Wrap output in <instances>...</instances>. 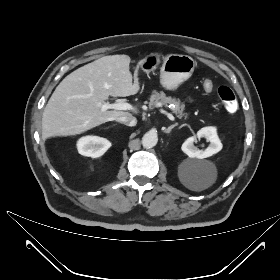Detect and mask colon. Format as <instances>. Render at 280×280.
Wrapping results in <instances>:
<instances>
[{
  "instance_id": "1",
  "label": "colon",
  "mask_w": 280,
  "mask_h": 280,
  "mask_svg": "<svg viewBox=\"0 0 280 280\" xmlns=\"http://www.w3.org/2000/svg\"><path fill=\"white\" fill-rule=\"evenodd\" d=\"M204 88L207 91H211L213 88L212 82L209 80L204 81ZM218 95H219L221 101L223 102L225 109L228 112L234 113L237 111L238 102H237L236 96L231 88H229L227 86H220L218 88Z\"/></svg>"
}]
</instances>
